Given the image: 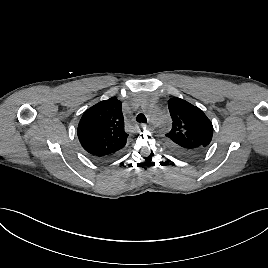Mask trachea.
<instances>
[{
    "label": "trachea",
    "mask_w": 268,
    "mask_h": 268,
    "mask_svg": "<svg viewBox=\"0 0 268 268\" xmlns=\"http://www.w3.org/2000/svg\"><path fill=\"white\" fill-rule=\"evenodd\" d=\"M136 120L139 123H147V118L142 113H140V114L137 115Z\"/></svg>",
    "instance_id": "trachea-1"
}]
</instances>
